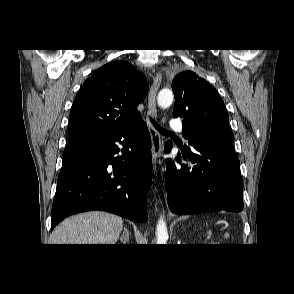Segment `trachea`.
Listing matches in <instances>:
<instances>
[{"label":"trachea","instance_id":"trachea-1","mask_svg":"<svg viewBox=\"0 0 294 294\" xmlns=\"http://www.w3.org/2000/svg\"><path fill=\"white\" fill-rule=\"evenodd\" d=\"M151 122L153 124V126L159 131L161 132L163 135H173L172 132L162 128L154 119L151 118Z\"/></svg>","mask_w":294,"mask_h":294}]
</instances>
